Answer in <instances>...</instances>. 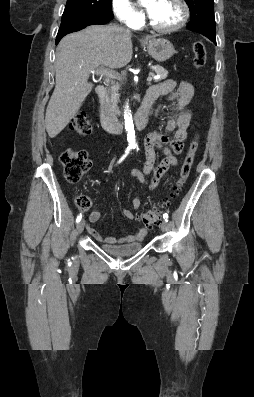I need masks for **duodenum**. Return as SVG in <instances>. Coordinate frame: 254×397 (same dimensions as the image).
<instances>
[{"label":"duodenum","mask_w":254,"mask_h":397,"mask_svg":"<svg viewBox=\"0 0 254 397\" xmlns=\"http://www.w3.org/2000/svg\"><path fill=\"white\" fill-rule=\"evenodd\" d=\"M96 94L99 100V116L100 123L103 129L113 133L122 132L124 129L123 123L113 118L107 110L105 103L107 94L106 88L104 86H99L96 89ZM152 104V99L146 95L141 106L134 116V122L138 129H143L146 127L149 120V114Z\"/></svg>","instance_id":"410a0bca"}]
</instances>
